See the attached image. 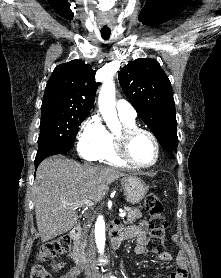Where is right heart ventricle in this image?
Masks as SVG:
<instances>
[{
	"instance_id": "e07e8e85",
	"label": "right heart ventricle",
	"mask_w": 221,
	"mask_h": 278,
	"mask_svg": "<svg viewBox=\"0 0 221 278\" xmlns=\"http://www.w3.org/2000/svg\"><path fill=\"white\" fill-rule=\"evenodd\" d=\"M122 122L124 123L125 127H130L134 126V121H128L125 119H121ZM114 144H115V135L109 134V139L108 143L102 152L99 160L102 162H105L110 165L114 166H119V167H124L126 166L125 163H123L116 155L115 149H114Z\"/></svg>"
}]
</instances>
